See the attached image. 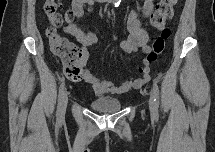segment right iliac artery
<instances>
[{
    "mask_svg": "<svg viewBox=\"0 0 215 152\" xmlns=\"http://www.w3.org/2000/svg\"><path fill=\"white\" fill-rule=\"evenodd\" d=\"M64 92H65V83L63 82L60 85L59 95H58V108H57V114H56L58 121L61 119V113H60V111H61V101H62Z\"/></svg>",
    "mask_w": 215,
    "mask_h": 152,
    "instance_id": "obj_1",
    "label": "right iliac artery"
}]
</instances>
